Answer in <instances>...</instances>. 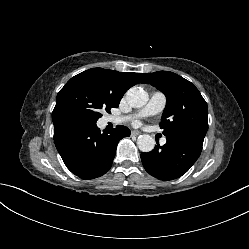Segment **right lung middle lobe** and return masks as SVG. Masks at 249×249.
Returning a JSON list of instances; mask_svg holds the SVG:
<instances>
[{
    "label": "right lung middle lobe",
    "mask_w": 249,
    "mask_h": 249,
    "mask_svg": "<svg viewBox=\"0 0 249 249\" xmlns=\"http://www.w3.org/2000/svg\"><path fill=\"white\" fill-rule=\"evenodd\" d=\"M119 103L90 79L73 77L57 94L53 111H66L89 122H97L102 116V109L110 112V109L117 108Z\"/></svg>",
    "instance_id": "obj_1"
}]
</instances>
